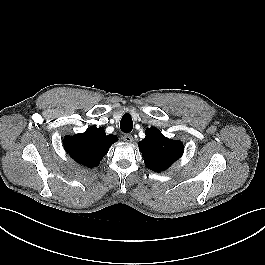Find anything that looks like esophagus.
I'll return each mask as SVG.
<instances>
[{"label": "esophagus", "instance_id": "obj_1", "mask_svg": "<svg viewBox=\"0 0 265 265\" xmlns=\"http://www.w3.org/2000/svg\"><path fill=\"white\" fill-rule=\"evenodd\" d=\"M123 140H124L126 143H131V142H133V136L130 135V134H126V135H124Z\"/></svg>", "mask_w": 265, "mask_h": 265}]
</instances>
